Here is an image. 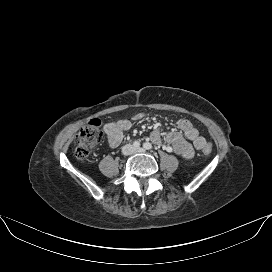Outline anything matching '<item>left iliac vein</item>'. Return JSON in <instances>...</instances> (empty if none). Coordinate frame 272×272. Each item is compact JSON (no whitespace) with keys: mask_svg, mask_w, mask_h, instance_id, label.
<instances>
[{"mask_svg":"<svg viewBox=\"0 0 272 272\" xmlns=\"http://www.w3.org/2000/svg\"><path fill=\"white\" fill-rule=\"evenodd\" d=\"M135 152L144 153L145 150H144L143 148L139 147V148H136V149H135Z\"/></svg>","mask_w":272,"mask_h":272,"instance_id":"left-iliac-vein-1","label":"left iliac vein"}]
</instances>
